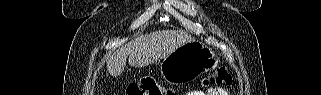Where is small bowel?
<instances>
[{"mask_svg":"<svg viewBox=\"0 0 321 95\" xmlns=\"http://www.w3.org/2000/svg\"><path fill=\"white\" fill-rule=\"evenodd\" d=\"M226 92L223 89H209L207 92H190L188 95H225Z\"/></svg>","mask_w":321,"mask_h":95,"instance_id":"obj_1","label":"small bowel"}]
</instances>
